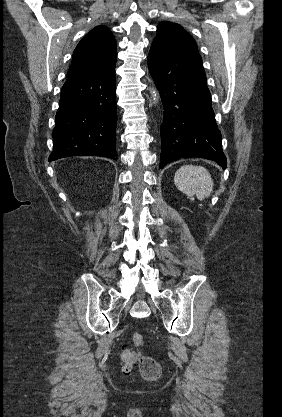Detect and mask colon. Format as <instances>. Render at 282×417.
Here are the masks:
<instances>
[{"label":"colon","mask_w":282,"mask_h":417,"mask_svg":"<svg viewBox=\"0 0 282 417\" xmlns=\"http://www.w3.org/2000/svg\"><path fill=\"white\" fill-rule=\"evenodd\" d=\"M132 341L135 346H138L139 349H144L145 347V340L142 336V334L138 332H134L132 334ZM135 353L131 350V347L124 346V348L121 351L120 358H121V364H122V370L125 373H129L132 371V369L135 367L134 363H132V360H134ZM141 366L140 371H138L142 378L147 381H154L159 378L161 374V365L160 363H156L155 361H152L151 359H143L140 361Z\"/></svg>","instance_id":"obj_1"}]
</instances>
